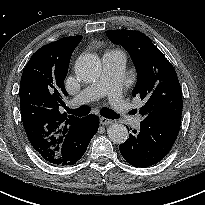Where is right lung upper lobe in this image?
<instances>
[{
  "instance_id": "cb5924a9",
  "label": "right lung upper lobe",
  "mask_w": 205,
  "mask_h": 205,
  "mask_svg": "<svg viewBox=\"0 0 205 205\" xmlns=\"http://www.w3.org/2000/svg\"><path fill=\"white\" fill-rule=\"evenodd\" d=\"M81 35L61 38L38 49L26 64L20 81L21 117L33 148L49 162L68 130L80 118L58 110L68 93L64 79Z\"/></svg>"
}]
</instances>
